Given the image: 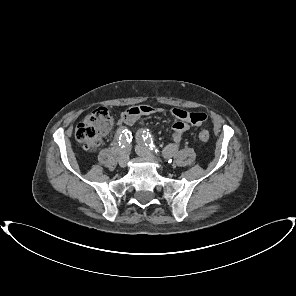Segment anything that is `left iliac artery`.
Instances as JSON below:
<instances>
[{"mask_svg": "<svg viewBox=\"0 0 296 296\" xmlns=\"http://www.w3.org/2000/svg\"><path fill=\"white\" fill-rule=\"evenodd\" d=\"M136 139L138 142H144V144L148 147V149L155 151L156 154L159 153V150L154 145L153 139L151 134L148 132V130H141L137 133Z\"/></svg>", "mask_w": 296, "mask_h": 296, "instance_id": "1", "label": "left iliac artery"}]
</instances>
